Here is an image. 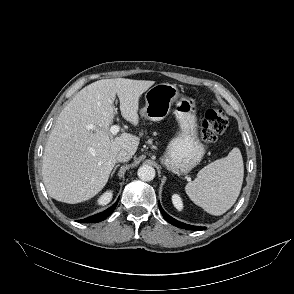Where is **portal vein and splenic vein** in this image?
Returning a JSON list of instances; mask_svg holds the SVG:
<instances>
[{"label": "portal vein and splenic vein", "instance_id": "1", "mask_svg": "<svg viewBox=\"0 0 294 294\" xmlns=\"http://www.w3.org/2000/svg\"><path fill=\"white\" fill-rule=\"evenodd\" d=\"M120 131V126L118 124L112 125L110 127V132L112 135H116Z\"/></svg>", "mask_w": 294, "mask_h": 294}]
</instances>
